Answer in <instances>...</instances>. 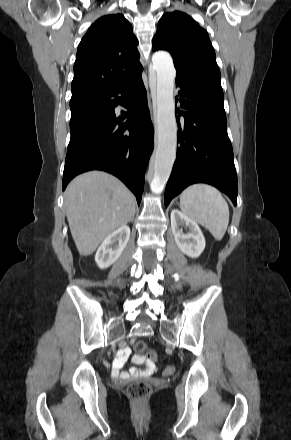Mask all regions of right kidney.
<instances>
[{"mask_svg": "<svg viewBox=\"0 0 291 440\" xmlns=\"http://www.w3.org/2000/svg\"><path fill=\"white\" fill-rule=\"evenodd\" d=\"M130 238V228L121 226L111 233L98 248L95 261L99 268L105 269L112 265L121 255Z\"/></svg>", "mask_w": 291, "mask_h": 440, "instance_id": "obj_1", "label": "right kidney"}]
</instances>
